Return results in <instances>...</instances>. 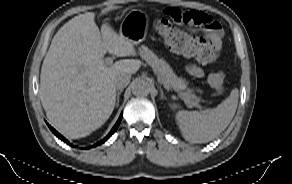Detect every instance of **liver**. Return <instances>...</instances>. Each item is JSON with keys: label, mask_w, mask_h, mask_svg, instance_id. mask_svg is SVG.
<instances>
[{"label": "liver", "mask_w": 292, "mask_h": 184, "mask_svg": "<svg viewBox=\"0 0 292 184\" xmlns=\"http://www.w3.org/2000/svg\"><path fill=\"white\" fill-rule=\"evenodd\" d=\"M94 19L93 12L80 14L58 30L40 74L39 96L47 118L71 139L90 135L108 120L116 101V77L135 74L141 66L135 59L105 64L107 51L125 57L135 56L136 50L109 25L100 32Z\"/></svg>", "instance_id": "obj_1"}]
</instances>
